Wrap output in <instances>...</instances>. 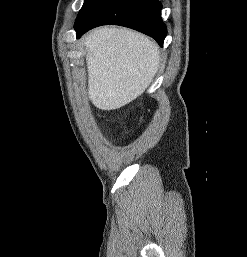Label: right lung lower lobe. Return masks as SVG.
<instances>
[{"mask_svg":"<svg viewBox=\"0 0 247 257\" xmlns=\"http://www.w3.org/2000/svg\"><path fill=\"white\" fill-rule=\"evenodd\" d=\"M158 0H95L84 17L75 23L77 38L107 24L121 25L154 38L160 46L167 35Z\"/></svg>","mask_w":247,"mask_h":257,"instance_id":"98d812e1","label":"right lung lower lobe"}]
</instances>
